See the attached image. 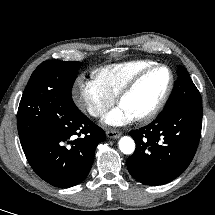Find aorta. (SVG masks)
Here are the masks:
<instances>
[{"mask_svg":"<svg viewBox=\"0 0 215 215\" xmlns=\"http://www.w3.org/2000/svg\"><path fill=\"white\" fill-rule=\"evenodd\" d=\"M119 149L124 154H132L135 150V142L131 137L124 136L119 140Z\"/></svg>","mask_w":215,"mask_h":215,"instance_id":"1","label":"aorta"}]
</instances>
